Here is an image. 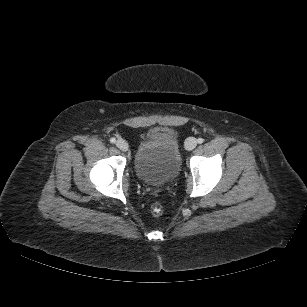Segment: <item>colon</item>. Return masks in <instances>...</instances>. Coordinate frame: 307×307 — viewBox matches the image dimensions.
I'll return each mask as SVG.
<instances>
[{
	"mask_svg": "<svg viewBox=\"0 0 307 307\" xmlns=\"http://www.w3.org/2000/svg\"><path fill=\"white\" fill-rule=\"evenodd\" d=\"M162 206L159 203H154L151 207V212L154 216H159L162 214Z\"/></svg>",
	"mask_w": 307,
	"mask_h": 307,
	"instance_id": "colon-1",
	"label": "colon"
}]
</instances>
